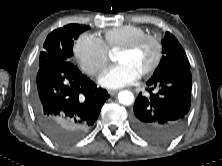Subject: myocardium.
<instances>
[{
    "label": "myocardium",
    "mask_w": 222,
    "mask_h": 166,
    "mask_svg": "<svg viewBox=\"0 0 222 166\" xmlns=\"http://www.w3.org/2000/svg\"><path fill=\"white\" fill-rule=\"evenodd\" d=\"M146 41H150L154 44L155 56H154V60L152 64L144 72L140 74L141 76H148L152 74L161 63L162 55H163V48H162V44L159 38L155 35L144 34L142 36L137 37L136 39H134L127 45H124L123 47L118 49L119 52H133L136 49H138Z\"/></svg>",
    "instance_id": "myocardium-1"
}]
</instances>
